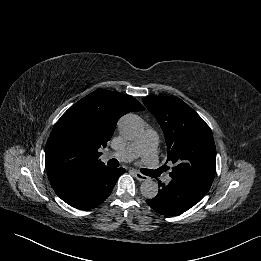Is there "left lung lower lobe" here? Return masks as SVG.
<instances>
[{"label":"left lung lower lobe","instance_id":"left-lung-lower-lobe-1","mask_svg":"<svg viewBox=\"0 0 261 261\" xmlns=\"http://www.w3.org/2000/svg\"><path fill=\"white\" fill-rule=\"evenodd\" d=\"M157 196L147 199V204L162 215H176L193 207L209 191L211 185L190 179H172L168 185L161 183Z\"/></svg>","mask_w":261,"mask_h":261}]
</instances>
